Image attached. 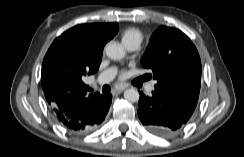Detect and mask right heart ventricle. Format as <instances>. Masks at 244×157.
Segmentation results:
<instances>
[{"label": "right heart ventricle", "mask_w": 244, "mask_h": 157, "mask_svg": "<svg viewBox=\"0 0 244 157\" xmlns=\"http://www.w3.org/2000/svg\"><path fill=\"white\" fill-rule=\"evenodd\" d=\"M121 40L124 46L129 43H137L140 45L143 40V33L138 28L130 27L123 31Z\"/></svg>", "instance_id": "right-heart-ventricle-1"}]
</instances>
